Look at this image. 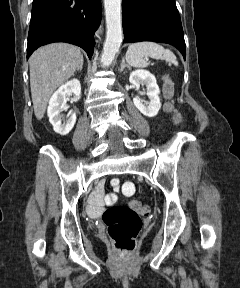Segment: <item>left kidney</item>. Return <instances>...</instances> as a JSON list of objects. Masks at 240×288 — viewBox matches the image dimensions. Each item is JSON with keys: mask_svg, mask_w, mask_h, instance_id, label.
<instances>
[{"mask_svg": "<svg viewBox=\"0 0 240 288\" xmlns=\"http://www.w3.org/2000/svg\"><path fill=\"white\" fill-rule=\"evenodd\" d=\"M129 81L135 87L145 85V93L150 100L149 104L145 105L139 96L134 97L133 103L136 108L147 117L156 116L161 108V102L159 98L160 89L157 85L155 76L149 71L139 69L130 73Z\"/></svg>", "mask_w": 240, "mask_h": 288, "instance_id": "obj_1", "label": "left kidney"}]
</instances>
